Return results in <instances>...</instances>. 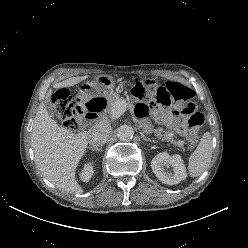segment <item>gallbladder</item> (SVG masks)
Wrapping results in <instances>:
<instances>
[{
    "label": "gallbladder",
    "instance_id": "gallbladder-1",
    "mask_svg": "<svg viewBox=\"0 0 248 248\" xmlns=\"http://www.w3.org/2000/svg\"><path fill=\"white\" fill-rule=\"evenodd\" d=\"M44 108L46 109V111L48 112V114L50 116H53L54 115V105L52 104L51 101L47 100L44 102Z\"/></svg>",
    "mask_w": 248,
    "mask_h": 248
}]
</instances>
